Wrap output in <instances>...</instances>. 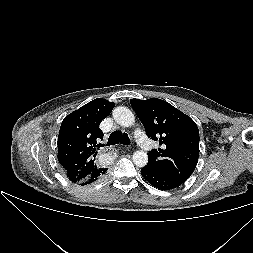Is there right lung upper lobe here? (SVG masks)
Here are the masks:
<instances>
[{
    "mask_svg": "<svg viewBox=\"0 0 253 253\" xmlns=\"http://www.w3.org/2000/svg\"><path fill=\"white\" fill-rule=\"evenodd\" d=\"M115 104L97 98L73 111L62 121L58 136V161L73 183H81L101 170L96 165L97 150L103 146L99 125Z\"/></svg>",
    "mask_w": 253,
    "mask_h": 253,
    "instance_id": "right-lung-upper-lobe-1",
    "label": "right lung upper lobe"
}]
</instances>
